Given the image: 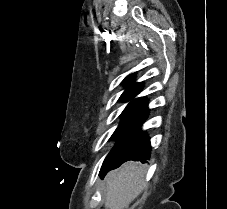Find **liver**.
<instances>
[{
	"instance_id": "6515ba94",
	"label": "liver",
	"mask_w": 227,
	"mask_h": 209,
	"mask_svg": "<svg viewBox=\"0 0 227 209\" xmlns=\"http://www.w3.org/2000/svg\"><path fill=\"white\" fill-rule=\"evenodd\" d=\"M146 165L125 163L118 171H110L106 181V209H125L142 193Z\"/></svg>"
}]
</instances>
